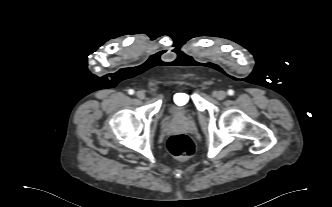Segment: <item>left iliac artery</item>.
I'll list each match as a JSON object with an SVG mask.
<instances>
[{"label": "left iliac artery", "instance_id": "1", "mask_svg": "<svg viewBox=\"0 0 332 207\" xmlns=\"http://www.w3.org/2000/svg\"><path fill=\"white\" fill-rule=\"evenodd\" d=\"M228 95H230V96L234 95V90L229 89V90H228Z\"/></svg>", "mask_w": 332, "mask_h": 207}]
</instances>
